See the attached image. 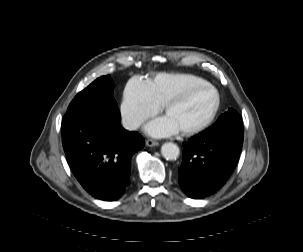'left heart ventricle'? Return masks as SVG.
<instances>
[{
    "mask_svg": "<svg viewBox=\"0 0 303 252\" xmlns=\"http://www.w3.org/2000/svg\"><path fill=\"white\" fill-rule=\"evenodd\" d=\"M214 105V93L207 87L196 89L182 103L170 108L166 116L177 129L201 124L209 115Z\"/></svg>",
    "mask_w": 303,
    "mask_h": 252,
    "instance_id": "obj_1",
    "label": "left heart ventricle"
}]
</instances>
